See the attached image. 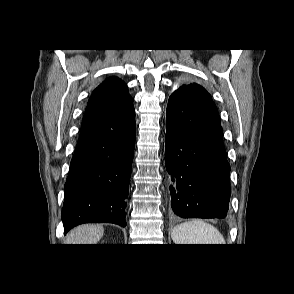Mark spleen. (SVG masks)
<instances>
[{
  "instance_id": "spleen-1",
  "label": "spleen",
  "mask_w": 294,
  "mask_h": 294,
  "mask_svg": "<svg viewBox=\"0 0 294 294\" xmlns=\"http://www.w3.org/2000/svg\"><path fill=\"white\" fill-rule=\"evenodd\" d=\"M171 237L175 244H225L217 228L198 219L175 226Z\"/></svg>"
}]
</instances>
